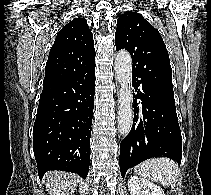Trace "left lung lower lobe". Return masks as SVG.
<instances>
[{
    "label": "left lung lower lobe",
    "instance_id": "left-lung-lower-lobe-1",
    "mask_svg": "<svg viewBox=\"0 0 211 195\" xmlns=\"http://www.w3.org/2000/svg\"><path fill=\"white\" fill-rule=\"evenodd\" d=\"M132 75L134 120L131 131L120 144V171L153 157H169L180 165L182 136L175 101L160 94ZM137 99L142 101L139 106Z\"/></svg>",
    "mask_w": 211,
    "mask_h": 195
}]
</instances>
